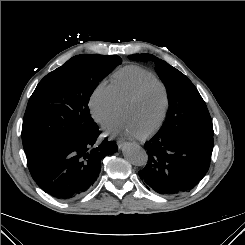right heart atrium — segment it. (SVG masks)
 Segmentation results:
<instances>
[{"mask_svg": "<svg viewBox=\"0 0 245 245\" xmlns=\"http://www.w3.org/2000/svg\"><path fill=\"white\" fill-rule=\"evenodd\" d=\"M88 107L98 124L104 126L110 123L117 113V101L111 85L100 81L89 97Z\"/></svg>", "mask_w": 245, "mask_h": 245, "instance_id": "d8ad5b80", "label": "right heart atrium"}]
</instances>
